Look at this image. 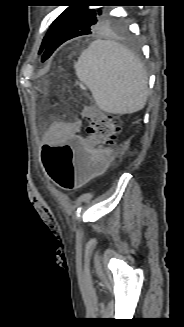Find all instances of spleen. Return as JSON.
I'll return each instance as SVG.
<instances>
[{"mask_svg":"<svg viewBox=\"0 0 184 327\" xmlns=\"http://www.w3.org/2000/svg\"><path fill=\"white\" fill-rule=\"evenodd\" d=\"M74 69L103 111L126 114L145 106L148 96L146 71L139 59L123 45L95 40L81 53Z\"/></svg>","mask_w":184,"mask_h":327,"instance_id":"spleen-1","label":"spleen"}]
</instances>
